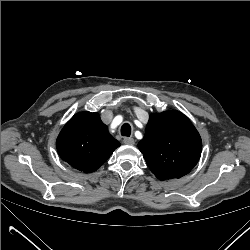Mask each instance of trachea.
Returning a JSON list of instances; mask_svg holds the SVG:
<instances>
[{"label": "trachea", "instance_id": "3493384b", "mask_svg": "<svg viewBox=\"0 0 250 250\" xmlns=\"http://www.w3.org/2000/svg\"><path fill=\"white\" fill-rule=\"evenodd\" d=\"M120 132L122 136L129 137L131 134V126L128 123L123 124Z\"/></svg>", "mask_w": 250, "mask_h": 250}]
</instances>
